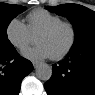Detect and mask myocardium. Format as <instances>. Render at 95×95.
I'll return each mask as SVG.
<instances>
[{
	"instance_id": "f54148a6",
	"label": "myocardium",
	"mask_w": 95,
	"mask_h": 95,
	"mask_svg": "<svg viewBox=\"0 0 95 95\" xmlns=\"http://www.w3.org/2000/svg\"><path fill=\"white\" fill-rule=\"evenodd\" d=\"M61 27H67L70 30L71 38H70V42H69L68 46L62 52L51 56V58L53 60H61V59L65 58L74 48V46L76 44V40H77V30H76L75 26L71 22L61 21V22H58L56 24H53V25L41 30L38 33V34H52Z\"/></svg>"
}]
</instances>
